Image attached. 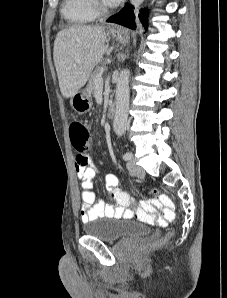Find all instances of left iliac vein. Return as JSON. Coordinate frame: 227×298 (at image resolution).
<instances>
[{"instance_id": "1", "label": "left iliac vein", "mask_w": 227, "mask_h": 298, "mask_svg": "<svg viewBox=\"0 0 227 298\" xmlns=\"http://www.w3.org/2000/svg\"><path fill=\"white\" fill-rule=\"evenodd\" d=\"M127 168L131 174L135 176L144 175V170L142 167L138 166L133 158H131L127 163Z\"/></svg>"}]
</instances>
